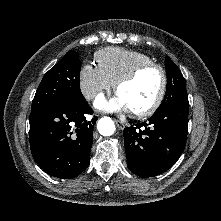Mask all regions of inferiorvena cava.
<instances>
[{
    "mask_svg": "<svg viewBox=\"0 0 221 221\" xmlns=\"http://www.w3.org/2000/svg\"><path fill=\"white\" fill-rule=\"evenodd\" d=\"M96 94V91L95 90H92L89 94H88V98H93Z\"/></svg>",
    "mask_w": 221,
    "mask_h": 221,
    "instance_id": "1",
    "label": "inferior vena cava"
}]
</instances>
